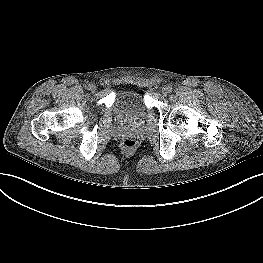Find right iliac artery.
<instances>
[{"mask_svg":"<svg viewBox=\"0 0 263 263\" xmlns=\"http://www.w3.org/2000/svg\"><path fill=\"white\" fill-rule=\"evenodd\" d=\"M90 86H91L90 84H87L85 87H86V89L89 90V89H90Z\"/></svg>","mask_w":263,"mask_h":263,"instance_id":"82829eb1","label":"right iliac artery"}]
</instances>
